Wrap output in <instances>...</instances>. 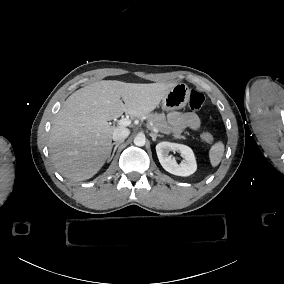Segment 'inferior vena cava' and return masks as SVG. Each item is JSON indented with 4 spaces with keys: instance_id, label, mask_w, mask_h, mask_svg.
I'll list each match as a JSON object with an SVG mask.
<instances>
[{
    "instance_id": "602c4592",
    "label": "inferior vena cava",
    "mask_w": 284,
    "mask_h": 284,
    "mask_svg": "<svg viewBox=\"0 0 284 284\" xmlns=\"http://www.w3.org/2000/svg\"><path fill=\"white\" fill-rule=\"evenodd\" d=\"M130 134L129 129L124 127H117L113 131V140L117 142H123Z\"/></svg>"
}]
</instances>
